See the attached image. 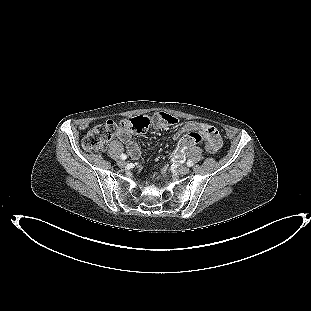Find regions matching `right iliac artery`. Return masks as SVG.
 <instances>
[{"mask_svg": "<svg viewBox=\"0 0 311 311\" xmlns=\"http://www.w3.org/2000/svg\"><path fill=\"white\" fill-rule=\"evenodd\" d=\"M120 157H121L122 160H126L127 159V155L126 154H122Z\"/></svg>", "mask_w": 311, "mask_h": 311, "instance_id": "82829eb1", "label": "right iliac artery"}]
</instances>
